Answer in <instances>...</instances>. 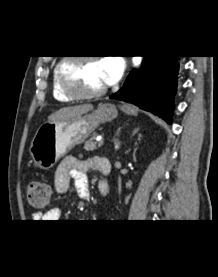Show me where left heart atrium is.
Instances as JSON below:
<instances>
[{
  "label": "left heart atrium",
  "instance_id": "1",
  "mask_svg": "<svg viewBox=\"0 0 218 277\" xmlns=\"http://www.w3.org/2000/svg\"><path fill=\"white\" fill-rule=\"evenodd\" d=\"M100 66L105 83L111 85L119 80L124 70V62L120 58L110 57L102 60Z\"/></svg>",
  "mask_w": 218,
  "mask_h": 277
}]
</instances>
